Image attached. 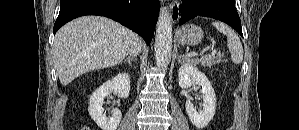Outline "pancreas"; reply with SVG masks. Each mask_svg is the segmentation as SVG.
Segmentation results:
<instances>
[{"label": "pancreas", "instance_id": "pancreas-1", "mask_svg": "<svg viewBox=\"0 0 299 130\" xmlns=\"http://www.w3.org/2000/svg\"><path fill=\"white\" fill-rule=\"evenodd\" d=\"M187 62L191 63L192 65H198L201 64L206 67H212L213 65L217 63H222L223 59L221 56H213V55H208L205 57H201L200 59H186Z\"/></svg>", "mask_w": 299, "mask_h": 130}]
</instances>
